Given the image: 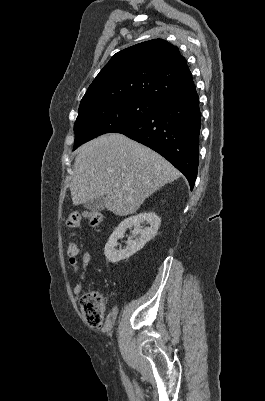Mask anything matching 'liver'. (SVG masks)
I'll return each instance as SVG.
<instances>
[{"label": "liver", "instance_id": "liver-1", "mask_svg": "<svg viewBox=\"0 0 265 401\" xmlns=\"http://www.w3.org/2000/svg\"><path fill=\"white\" fill-rule=\"evenodd\" d=\"M73 166V205L106 194L108 211L119 217L134 215L147 196L181 174L163 156L118 132L79 146Z\"/></svg>", "mask_w": 265, "mask_h": 401}]
</instances>
